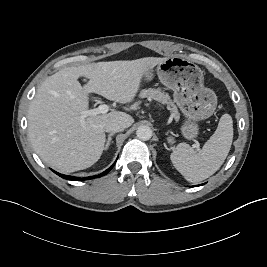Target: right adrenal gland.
<instances>
[{
    "label": "right adrenal gland",
    "mask_w": 267,
    "mask_h": 267,
    "mask_svg": "<svg viewBox=\"0 0 267 267\" xmlns=\"http://www.w3.org/2000/svg\"><path fill=\"white\" fill-rule=\"evenodd\" d=\"M113 136H114V133H111V134L108 135V139H107L106 144L104 146V150H107L108 149V147H109V145L111 143V140H112V137Z\"/></svg>",
    "instance_id": "obj_1"
}]
</instances>
